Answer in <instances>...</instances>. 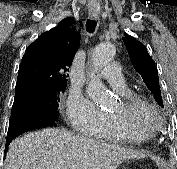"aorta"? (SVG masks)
Returning <instances> with one entry per match:
<instances>
[{
	"mask_svg": "<svg viewBox=\"0 0 177 169\" xmlns=\"http://www.w3.org/2000/svg\"><path fill=\"white\" fill-rule=\"evenodd\" d=\"M115 52V47L111 43H101L94 48L92 53L93 69L86 92L100 106H107L111 102V97L100 78L96 76V73L114 58Z\"/></svg>",
	"mask_w": 177,
	"mask_h": 169,
	"instance_id": "1",
	"label": "aorta"
}]
</instances>
